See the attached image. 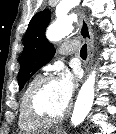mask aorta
I'll return each mask as SVG.
<instances>
[{
  "instance_id": "1",
  "label": "aorta",
  "mask_w": 116,
  "mask_h": 134,
  "mask_svg": "<svg viewBox=\"0 0 116 134\" xmlns=\"http://www.w3.org/2000/svg\"><path fill=\"white\" fill-rule=\"evenodd\" d=\"M73 15L65 16L53 23L46 32L48 40L56 42L69 35L73 30ZM95 71L87 78L77 96L71 122L74 126L81 124L91 110L95 96Z\"/></svg>"
}]
</instances>
